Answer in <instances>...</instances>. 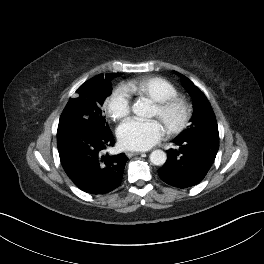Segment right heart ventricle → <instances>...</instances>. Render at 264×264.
<instances>
[{
    "label": "right heart ventricle",
    "mask_w": 264,
    "mask_h": 264,
    "mask_svg": "<svg viewBox=\"0 0 264 264\" xmlns=\"http://www.w3.org/2000/svg\"><path fill=\"white\" fill-rule=\"evenodd\" d=\"M129 93L161 102L177 95V88L167 79L158 76H146L130 81L125 86Z\"/></svg>",
    "instance_id": "e07e8e85"
}]
</instances>
